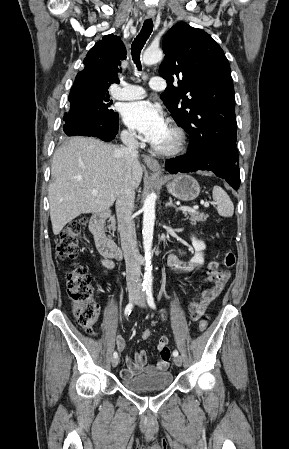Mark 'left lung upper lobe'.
I'll return each instance as SVG.
<instances>
[{
	"label": "left lung upper lobe",
	"mask_w": 289,
	"mask_h": 449,
	"mask_svg": "<svg viewBox=\"0 0 289 449\" xmlns=\"http://www.w3.org/2000/svg\"><path fill=\"white\" fill-rule=\"evenodd\" d=\"M162 48L165 59L159 74L168 86L161 99L174 120L193 142L215 133L229 134L236 141L234 87L221 47L203 30L177 23L164 36Z\"/></svg>",
	"instance_id": "1"
}]
</instances>
